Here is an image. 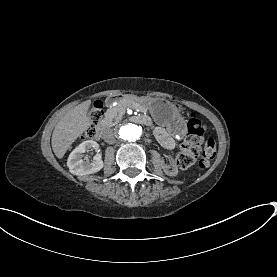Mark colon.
<instances>
[{
	"instance_id": "obj_1",
	"label": "colon",
	"mask_w": 277,
	"mask_h": 277,
	"mask_svg": "<svg viewBox=\"0 0 277 277\" xmlns=\"http://www.w3.org/2000/svg\"><path fill=\"white\" fill-rule=\"evenodd\" d=\"M104 114V105L95 104L90 112V121L84 131L86 140H94L99 133L97 122ZM206 127L196 114H191L187 123V135L181 150L176 156V166L187 169L200 160L204 166L210 163L215 155L216 143L213 137L206 136Z\"/></svg>"
}]
</instances>
